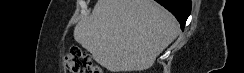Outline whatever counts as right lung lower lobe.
I'll use <instances>...</instances> for the list:
<instances>
[{"mask_svg":"<svg viewBox=\"0 0 244 73\" xmlns=\"http://www.w3.org/2000/svg\"><path fill=\"white\" fill-rule=\"evenodd\" d=\"M176 17L184 29L186 20L191 12V0H155Z\"/></svg>","mask_w":244,"mask_h":73,"instance_id":"right-lung-lower-lobe-1","label":"right lung lower lobe"}]
</instances>
